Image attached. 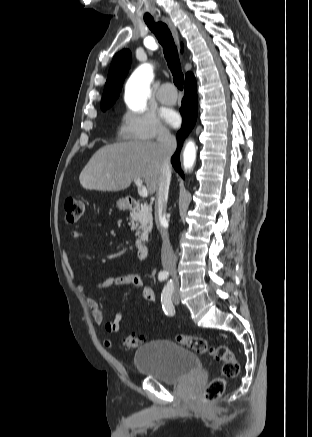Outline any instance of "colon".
Returning <instances> with one entry per match:
<instances>
[{
    "instance_id": "colon-1",
    "label": "colon",
    "mask_w": 312,
    "mask_h": 437,
    "mask_svg": "<svg viewBox=\"0 0 312 437\" xmlns=\"http://www.w3.org/2000/svg\"><path fill=\"white\" fill-rule=\"evenodd\" d=\"M87 205L83 200L67 198L65 201V219L69 224L76 223L86 212ZM175 341L186 346L198 354H206L215 361L222 362L221 375L209 382L203 393V400L210 402L221 397L225 391L227 380L236 378L240 366L231 350L225 345H213L201 337L184 334L175 335ZM143 342L142 337L128 335L125 345L128 348H137Z\"/></svg>"
}]
</instances>
